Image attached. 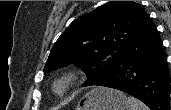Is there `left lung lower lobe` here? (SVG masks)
Returning a JSON list of instances; mask_svg holds the SVG:
<instances>
[{
	"instance_id": "0a47b994",
	"label": "left lung lower lobe",
	"mask_w": 171,
	"mask_h": 110,
	"mask_svg": "<svg viewBox=\"0 0 171 110\" xmlns=\"http://www.w3.org/2000/svg\"><path fill=\"white\" fill-rule=\"evenodd\" d=\"M95 85L131 94L151 110H170V72L163 42L151 19L112 72Z\"/></svg>"
}]
</instances>
